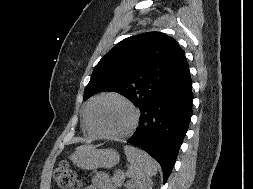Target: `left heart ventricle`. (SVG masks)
I'll list each match as a JSON object with an SVG mask.
<instances>
[{
  "label": "left heart ventricle",
  "instance_id": "1",
  "mask_svg": "<svg viewBox=\"0 0 253 189\" xmlns=\"http://www.w3.org/2000/svg\"><path fill=\"white\" fill-rule=\"evenodd\" d=\"M93 120L103 132L121 133L131 124L132 112L123 102L115 98H106L95 105Z\"/></svg>",
  "mask_w": 253,
  "mask_h": 189
}]
</instances>
